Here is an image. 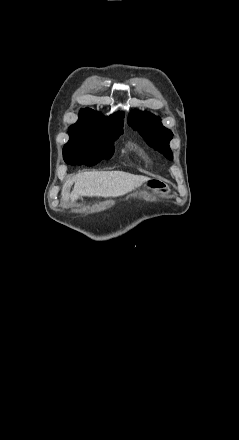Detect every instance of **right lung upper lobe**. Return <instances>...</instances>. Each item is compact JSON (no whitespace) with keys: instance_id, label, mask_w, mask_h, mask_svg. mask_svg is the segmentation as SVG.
Listing matches in <instances>:
<instances>
[{"instance_id":"right-lung-upper-lobe-1","label":"right lung upper lobe","mask_w":239,"mask_h":440,"mask_svg":"<svg viewBox=\"0 0 239 440\" xmlns=\"http://www.w3.org/2000/svg\"><path fill=\"white\" fill-rule=\"evenodd\" d=\"M123 117H124L123 112H118L105 118L96 111L86 108L80 111L78 121H94V122L110 124L113 126L123 127Z\"/></svg>"}]
</instances>
